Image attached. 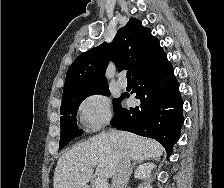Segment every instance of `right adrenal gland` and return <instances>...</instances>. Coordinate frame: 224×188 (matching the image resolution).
<instances>
[{
  "instance_id": "2a0ac1e0",
  "label": "right adrenal gland",
  "mask_w": 224,
  "mask_h": 188,
  "mask_svg": "<svg viewBox=\"0 0 224 188\" xmlns=\"http://www.w3.org/2000/svg\"><path fill=\"white\" fill-rule=\"evenodd\" d=\"M155 160H157V159H155ZM142 162V160H136V161H134L133 162V164H132V167H131V173H130V175L132 174V172H133V168L135 167V165L138 163H141Z\"/></svg>"
}]
</instances>
